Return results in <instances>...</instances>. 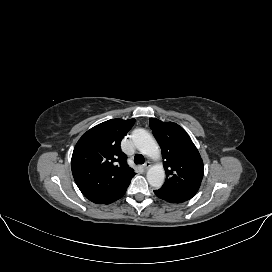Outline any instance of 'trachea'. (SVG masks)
I'll list each match as a JSON object with an SVG mask.
<instances>
[{"mask_svg":"<svg viewBox=\"0 0 272 272\" xmlns=\"http://www.w3.org/2000/svg\"><path fill=\"white\" fill-rule=\"evenodd\" d=\"M134 162L136 164H140L141 165V164H143L145 162V159H144V157L141 154H137L134 157Z\"/></svg>","mask_w":272,"mask_h":272,"instance_id":"obj_1","label":"trachea"}]
</instances>
